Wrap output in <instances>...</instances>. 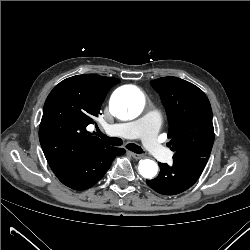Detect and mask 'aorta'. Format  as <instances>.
I'll return each mask as SVG.
<instances>
[{
  "instance_id": "aorta-1",
  "label": "aorta",
  "mask_w": 250,
  "mask_h": 250,
  "mask_svg": "<svg viewBox=\"0 0 250 250\" xmlns=\"http://www.w3.org/2000/svg\"><path fill=\"white\" fill-rule=\"evenodd\" d=\"M145 100L141 92L133 87H123L115 91L110 100V111L122 119L137 117L144 108ZM139 173L145 178H152L157 174L158 166L150 159L140 160Z\"/></svg>"
}]
</instances>
